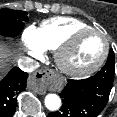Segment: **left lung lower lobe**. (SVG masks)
Segmentation results:
<instances>
[{"mask_svg": "<svg viewBox=\"0 0 117 117\" xmlns=\"http://www.w3.org/2000/svg\"><path fill=\"white\" fill-rule=\"evenodd\" d=\"M114 75L102 68L96 75L82 80L68 79L59 94L63 104L49 117H97L108 102Z\"/></svg>", "mask_w": 117, "mask_h": 117, "instance_id": "obj_1", "label": "left lung lower lobe"}]
</instances>
